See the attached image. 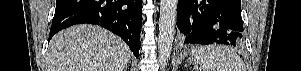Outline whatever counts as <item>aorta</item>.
<instances>
[{
	"label": "aorta",
	"instance_id": "762f6f07",
	"mask_svg": "<svg viewBox=\"0 0 301 71\" xmlns=\"http://www.w3.org/2000/svg\"><path fill=\"white\" fill-rule=\"evenodd\" d=\"M177 0L160 1L158 53L161 69H165L170 58L176 22Z\"/></svg>",
	"mask_w": 301,
	"mask_h": 71
}]
</instances>
